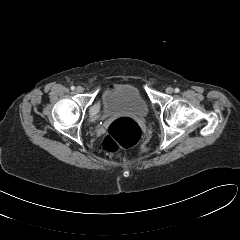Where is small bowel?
<instances>
[{"label":"small bowel","mask_w":240,"mask_h":240,"mask_svg":"<svg viewBox=\"0 0 240 240\" xmlns=\"http://www.w3.org/2000/svg\"><path fill=\"white\" fill-rule=\"evenodd\" d=\"M97 105L94 106L93 112L96 113L97 112Z\"/></svg>","instance_id":"c3829d8e"}]
</instances>
